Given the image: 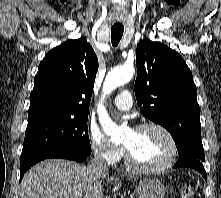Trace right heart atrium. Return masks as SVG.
<instances>
[{"label":"right heart atrium","mask_w":221,"mask_h":198,"mask_svg":"<svg viewBox=\"0 0 221 198\" xmlns=\"http://www.w3.org/2000/svg\"><path fill=\"white\" fill-rule=\"evenodd\" d=\"M88 137L91 151L97 159L109 166L120 161L122 149L110 142L100 131L92 128L88 132Z\"/></svg>","instance_id":"1"}]
</instances>
